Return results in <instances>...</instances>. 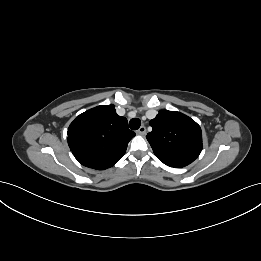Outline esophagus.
<instances>
[{
    "mask_svg": "<svg viewBox=\"0 0 261 261\" xmlns=\"http://www.w3.org/2000/svg\"><path fill=\"white\" fill-rule=\"evenodd\" d=\"M137 134H139V135H145V134H146V127H145V126H141V127L137 130Z\"/></svg>",
    "mask_w": 261,
    "mask_h": 261,
    "instance_id": "esophagus-1",
    "label": "esophagus"
}]
</instances>
